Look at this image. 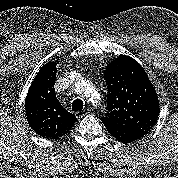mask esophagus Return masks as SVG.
Instances as JSON below:
<instances>
[{"label": "esophagus", "instance_id": "34e87169", "mask_svg": "<svg viewBox=\"0 0 178 178\" xmlns=\"http://www.w3.org/2000/svg\"><path fill=\"white\" fill-rule=\"evenodd\" d=\"M88 113H89V110L88 109H84L82 111H77L75 113V115H76L77 118H82L83 116H85Z\"/></svg>", "mask_w": 178, "mask_h": 178}]
</instances>
